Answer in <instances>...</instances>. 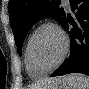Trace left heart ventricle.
Returning a JSON list of instances; mask_svg holds the SVG:
<instances>
[{
    "label": "left heart ventricle",
    "instance_id": "left-heart-ventricle-1",
    "mask_svg": "<svg viewBox=\"0 0 89 89\" xmlns=\"http://www.w3.org/2000/svg\"><path fill=\"white\" fill-rule=\"evenodd\" d=\"M63 50L60 34L51 27L41 29L35 36L31 54L37 70H44L54 65Z\"/></svg>",
    "mask_w": 89,
    "mask_h": 89
}]
</instances>
